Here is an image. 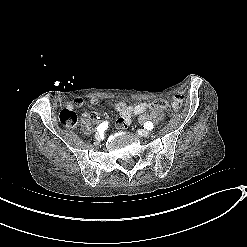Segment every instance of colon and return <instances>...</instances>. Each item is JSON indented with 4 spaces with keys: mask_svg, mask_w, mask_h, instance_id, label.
<instances>
[{
    "mask_svg": "<svg viewBox=\"0 0 247 247\" xmlns=\"http://www.w3.org/2000/svg\"><path fill=\"white\" fill-rule=\"evenodd\" d=\"M151 108L154 110H167L169 108V104L166 101L159 100L153 102L151 104ZM58 119L67 127H74L78 124L77 114L68 108H65L59 112Z\"/></svg>",
    "mask_w": 247,
    "mask_h": 247,
    "instance_id": "obj_1",
    "label": "colon"
}]
</instances>
